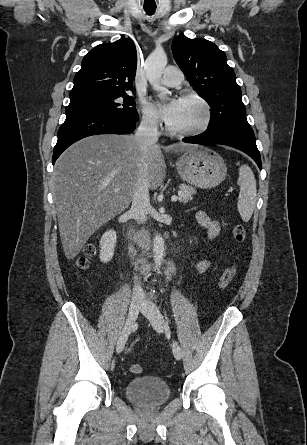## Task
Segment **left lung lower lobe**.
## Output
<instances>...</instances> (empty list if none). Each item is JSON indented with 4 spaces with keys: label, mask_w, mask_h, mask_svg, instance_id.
Segmentation results:
<instances>
[{
    "label": "left lung lower lobe",
    "mask_w": 307,
    "mask_h": 445,
    "mask_svg": "<svg viewBox=\"0 0 307 445\" xmlns=\"http://www.w3.org/2000/svg\"><path fill=\"white\" fill-rule=\"evenodd\" d=\"M183 142L196 144H223L234 147L248 154L261 169L260 153L256 146V139L250 127L228 125L213 130H206L202 134L183 139Z\"/></svg>",
    "instance_id": "obj_1"
}]
</instances>
